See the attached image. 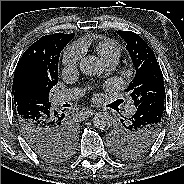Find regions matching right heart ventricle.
<instances>
[{"label": "right heart ventricle", "instance_id": "1", "mask_svg": "<svg viewBox=\"0 0 184 184\" xmlns=\"http://www.w3.org/2000/svg\"><path fill=\"white\" fill-rule=\"evenodd\" d=\"M83 45L84 50L89 43L79 42ZM95 50L98 56L102 59L104 63L109 61L118 62L122 54V46L115 40L110 38H101L96 42Z\"/></svg>", "mask_w": 184, "mask_h": 184}]
</instances>
